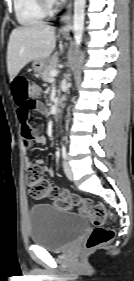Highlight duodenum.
Wrapping results in <instances>:
<instances>
[{"label": "duodenum", "instance_id": "obj_1", "mask_svg": "<svg viewBox=\"0 0 134 281\" xmlns=\"http://www.w3.org/2000/svg\"><path fill=\"white\" fill-rule=\"evenodd\" d=\"M59 112H60V104L59 102H56L53 107V114L55 119H57Z\"/></svg>", "mask_w": 134, "mask_h": 281}]
</instances>
